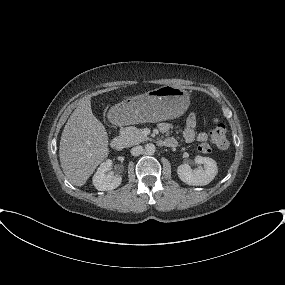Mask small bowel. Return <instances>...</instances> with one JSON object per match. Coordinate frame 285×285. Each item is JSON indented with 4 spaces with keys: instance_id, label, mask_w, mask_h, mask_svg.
<instances>
[{
    "instance_id": "small-bowel-1",
    "label": "small bowel",
    "mask_w": 285,
    "mask_h": 285,
    "mask_svg": "<svg viewBox=\"0 0 285 285\" xmlns=\"http://www.w3.org/2000/svg\"><path fill=\"white\" fill-rule=\"evenodd\" d=\"M197 118L195 115H190L183 127V136L187 142L198 141L200 143L206 142L208 135L206 132H196ZM160 131L165 135L164 144L168 146H175L177 144L176 138L172 135L174 125L171 122H162L159 125Z\"/></svg>"
}]
</instances>
